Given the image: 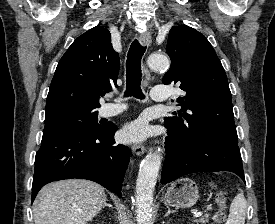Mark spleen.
<instances>
[{
  "mask_svg": "<svg viewBox=\"0 0 275 224\" xmlns=\"http://www.w3.org/2000/svg\"><path fill=\"white\" fill-rule=\"evenodd\" d=\"M247 201L242 190L235 196L230 206L226 224H244L246 219Z\"/></svg>",
  "mask_w": 275,
  "mask_h": 224,
  "instance_id": "obj_1",
  "label": "spleen"
}]
</instances>
